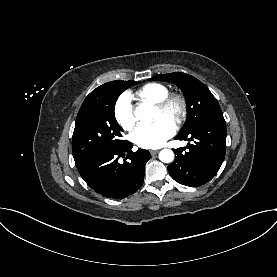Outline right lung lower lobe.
Returning a JSON list of instances; mask_svg holds the SVG:
<instances>
[{
    "mask_svg": "<svg viewBox=\"0 0 277 277\" xmlns=\"http://www.w3.org/2000/svg\"><path fill=\"white\" fill-rule=\"evenodd\" d=\"M133 144L103 148L75 160L76 167L90 188L104 197L121 199L141 188L144 168L151 158L147 150L132 152ZM123 164L118 162L125 157Z\"/></svg>",
    "mask_w": 277,
    "mask_h": 277,
    "instance_id": "98d812e1",
    "label": "right lung lower lobe"
}]
</instances>
